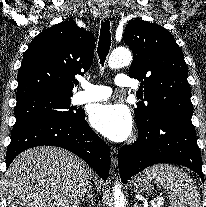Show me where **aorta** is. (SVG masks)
<instances>
[{"instance_id":"aorta-1","label":"aorta","mask_w":206,"mask_h":207,"mask_svg":"<svg viewBox=\"0 0 206 207\" xmlns=\"http://www.w3.org/2000/svg\"><path fill=\"white\" fill-rule=\"evenodd\" d=\"M132 60L131 53L126 48H117L112 51L108 66L112 69L129 65ZM113 207H126L125 197L121 191V185L116 182L113 187Z\"/></svg>"}]
</instances>
